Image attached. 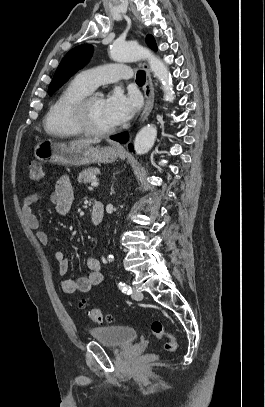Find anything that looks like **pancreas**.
I'll return each mask as SVG.
<instances>
[{
    "instance_id": "1",
    "label": "pancreas",
    "mask_w": 265,
    "mask_h": 407,
    "mask_svg": "<svg viewBox=\"0 0 265 407\" xmlns=\"http://www.w3.org/2000/svg\"><path fill=\"white\" fill-rule=\"evenodd\" d=\"M100 170L98 168H88L83 170L78 176V182L87 184L96 180V175L99 174Z\"/></svg>"
}]
</instances>
